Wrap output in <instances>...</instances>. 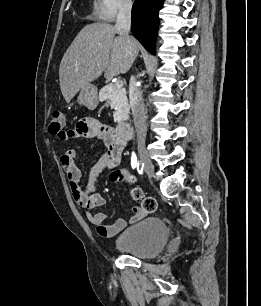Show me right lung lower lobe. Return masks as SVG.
Masks as SVG:
<instances>
[{
    "instance_id": "98d812e1",
    "label": "right lung lower lobe",
    "mask_w": 261,
    "mask_h": 306,
    "mask_svg": "<svg viewBox=\"0 0 261 306\" xmlns=\"http://www.w3.org/2000/svg\"><path fill=\"white\" fill-rule=\"evenodd\" d=\"M162 5L163 0H135L132 7V33L152 54H155L158 12Z\"/></svg>"
}]
</instances>
